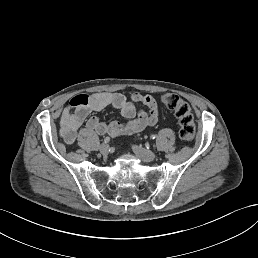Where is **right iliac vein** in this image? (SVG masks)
<instances>
[{
  "label": "right iliac vein",
  "mask_w": 258,
  "mask_h": 258,
  "mask_svg": "<svg viewBox=\"0 0 258 258\" xmlns=\"http://www.w3.org/2000/svg\"><path fill=\"white\" fill-rule=\"evenodd\" d=\"M98 150L102 154H108L110 152V145L108 143H102L99 145Z\"/></svg>",
  "instance_id": "63e3f726"
}]
</instances>
